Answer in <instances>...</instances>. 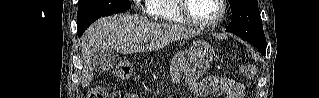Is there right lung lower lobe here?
<instances>
[{"label":"right lung lower lobe","mask_w":319,"mask_h":98,"mask_svg":"<svg viewBox=\"0 0 319 98\" xmlns=\"http://www.w3.org/2000/svg\"><path fill=\"white\" fill-rule=\"evenodd\" d=\"M103 16H107V15H103ZM103 16H96V17L88 18L86 20L78 22L77 23L78 36H81L84 33V31L87 29V27H89L95 20Z\"/></svg>","instance_id":"obj_1"}]
</instances>
